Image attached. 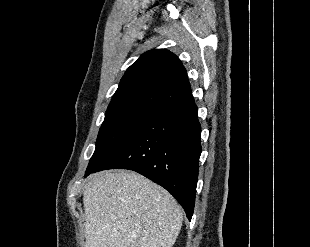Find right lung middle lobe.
<instances>
[{
	"label": "right lung middle lobe",
	"instance_id": "dd1d6c3e",
	"mask_svg": "<svg viewBox=\"0 0 310 247\" xmlns=\"http://www.w3.org/2000/svg\"><path fill=\"white\" fill-rule=\"evenodd\" d=\"M157 109L148 106L123 108L106 113L99 130L96 148L86 173L108 160L144 123L156 115Z\"/></svg>",
	"mask_w": 310,
	"mask_h": 247
}]
</instances>
